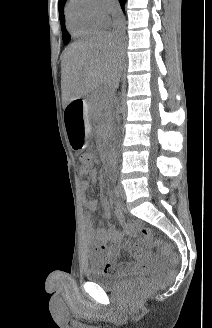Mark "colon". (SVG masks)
I'll list each match as a JSON object with an SVG mask.
<instances>
[{
    "instance_id": "1",
    "label": "colon",
    "mask_w": 212,
    "mask_h": 328,
    "mask_svg": "<svg viewBox=\"0 0 212 328\" xmlns=\"http://www.w3.org/2000/svg\"><path fill=\"white\" fill-rule=\"evenodd\" d=\"M80 159L83 162V163H81L80 168H79L80 173H93L94 167L91 166L89 163L92 159V155L90 153H83L81 155ZM140 233H141L142 237L145 238L146 240L152 242L153 244H155L157 246H161L164 254L166 255L168 261L171 264H176L178 262V257L172 251V249L167 244H165L161 239L155 238L150 229L143 228L140 230ZM148 289L149 288L140 290L138 292V296H141L142 294L146 293L148 291Z\"/></svg>"
}]
</instances>
